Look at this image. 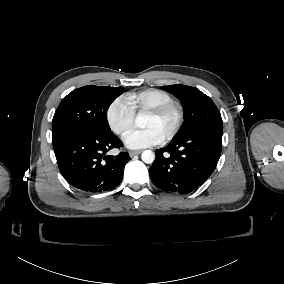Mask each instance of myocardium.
Returning a JSON list of instances; mask_svg holds the SVG:
<instances>
[{
    "instance_id": "obj_1",
    "label": "myocardium",
    "mask_w": 284,
    "mask_h": 284,
    "mask_svg": "<svg viewBox=\"0 0 284 284\" xmlns=\"http://www.w3.org/2000/svg\"><path fill=\"white\" fill-rule=\"evenodd\" d=\"M153 117H162L168 114L173 116V122L168 133L162 138L163 143H167L174 138L179 131L183 121L182 108L175 102H170L147 111Z\"/></svg>"
}]
</instances>
